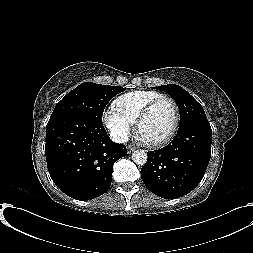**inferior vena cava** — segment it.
<instances>
[{"label": "inferior vena cava", "instance_id": "inferior-vena-cava-1", "mask_svg": "<svg viewBox=\"0 0 253 253\" xmlns=\"http://www.w3.org/2000/svg\"><path fill=\"white\" fill-rule=\"evenodd\" d=\"M112 140L116 143H124L128 141V136L122 134H115L112 136Z\"/></svg>", "mask_w": 253, "mask_h": 253}]
</instances>
